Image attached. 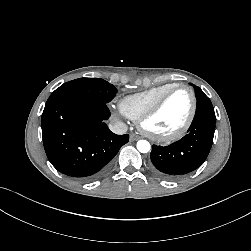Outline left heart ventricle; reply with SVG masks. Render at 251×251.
I'll use <instances>...</instances> for the list:
<instances>
[{"instance_id":"b2bd125f","label":"left heart ventricle","mask_w":251,"mask_h":251,"mask_svg":"<svg viewBox=\"0 0 251 251\" xmlns=\"http://www.w3.org/2000/svg\"><path fill=\"white\" fill-rule=\"evenodd\" d=\"M192 98L189 91L181 89L172 93L159 112L147 122L154 134L165 135L178 130L189 116Z\"/></svg>"}]
</instances>
